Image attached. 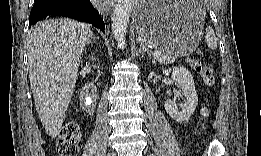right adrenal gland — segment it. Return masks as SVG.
Masks as SVG:
<instances>
[{"label":"right adrenal gland","mask_w":261,"mask_h":156,"mask_svg":"<svg viewBox=\"0 0 261 156\" xmlns=\"http://www.w3.org/2000/svg\"><path fill=\"white\" fill-rule=\"evenodd\" d=\"M91 39L93 40H98L99 38L98 37H95L94 35H92ZM90 43V42H89Z\"/></svg>","instance_id":"obj_1"}]
</instances>
